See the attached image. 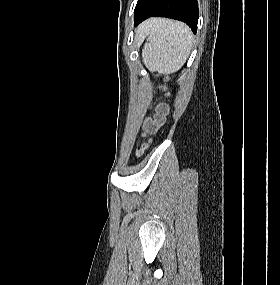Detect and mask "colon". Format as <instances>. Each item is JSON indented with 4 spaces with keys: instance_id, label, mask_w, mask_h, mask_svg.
<instances>
[{
    "instance_id": "obj_1",
    "label": "colon",
    "mask_w": 280,
    "mask_h": 285,
    "mask_svg": "<svg viewBox=\"0 0 280 285\" xmlns=\"http://www.w3.org/2000/svg\"><path fill=\"white\" fill-rule=\"evenodd\" d=\"M157 126H158V125H156V126H155V125H152V126L149 128V130H150V131H154V130L157 128ZM142 149H143V148H142ZM142 149L139 150V153L142 151Z\"/></svg>"
}]
</instances>
